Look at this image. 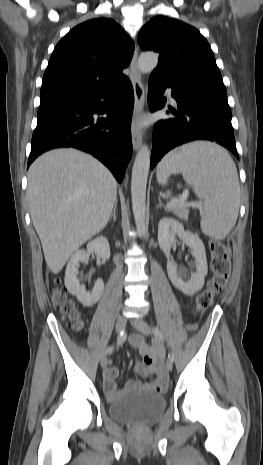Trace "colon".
Instances as JSON below:
<instances>
[{
	"label": "colon",
	"instance_id": "1",
	"mask_svg": "<svg viewBox=\"0 0 263 465\" xmlns=\"http://www.w3.org/2000/svg\"><path fill=\"white\" fill-rule=\"evenodd\" d=\"M211 254V270L212 277L207 283L206 288L197 296L195 303V311L198 315H202L214 302L215 297L226 286L231 263L227 248L224 243L217 240H212L209 243ZM56 285L58 282L56 281ZM53 301L60 309L61 313L70 321L74 330L79 331L82 328V322L78 312L72 302L67 300L65 293L60 288L56 287L53 293Z\"/></svg>",
	"mask_w": 263,
	"mask_h": 465
}]
</instances>
